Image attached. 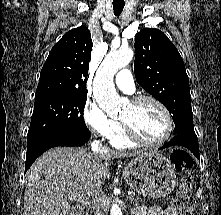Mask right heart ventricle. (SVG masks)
Masks as SVG:
<instances>
[{"label":"right heart ventricle","instance_id":"obj_1","mask_svg":"<svg viewBox=\"0 0 221 215\" xmlns=\"http://www.w3.org/2000/svg\"><path fill=\"white\" fill-rule=\"evenodd\" d=\"M111 144L116 148L126 149L134 146V143L131 142L125 135L123 127L119 123L118 132L110 138Z\"/></svg>","mask_w":221,"mask_h":215}]
</instances>
